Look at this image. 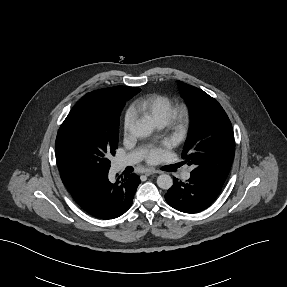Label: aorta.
Here are the masks:
<instances>
[{"label":"aorta","mask_w":287,"mask_h":287,"mask_svg":"<svg viewBox=\"0 0 287 287\" xmlns=\"http://www.w3.org/2000/svg\"><path fill=\"white\" fill-rule=\"evenodd\" d=\"M152 130H153L152 127L143 121H137L135 124H133L130 127L131 135L137 138H144V137L149 136ZM157 185L161 189L167 190L172 187L173 180L170 175L162 174V175H159L157 178Z\"/></svg>","instance_id":"1"}]
</instances>
